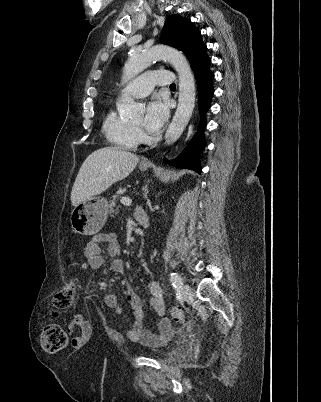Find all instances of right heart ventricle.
I'll use <instances>...</instances> for the list:
<instances>
[{
	"label": "right heart ventricle",
	"instance_id": "right-heart-ventricle-1",
	"mask_svg": "<svg viewBox=\"0 0 321 402\" xmlns=\"http://www.w3.org/2000/svg\"><path fill=\"white\" fill-rule=\"evenodd\" d=\"M106 139L113 146L131 150L139 144L136 128L120 117L114 109H109L102 126Z\"/></svg>",
	"mask_w": 321,
	"mask_h": 402
}]
</instances>
